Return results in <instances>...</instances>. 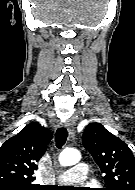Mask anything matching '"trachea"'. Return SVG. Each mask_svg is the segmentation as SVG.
<instances>
[{
	"instance_id": "3493384b",
	"label": "trachea",
	"mask_w": 135,
	"mask_h": 190,
	"mask_svg": "<svg viewBox=\"0 0 135 190\" xmlns=\"http://www.w3.org/2000/svg\"><path fill=\"white\" fill-rule=\"evenodd\" d=\"M67 137H68L67 129L64 127L59 128L56 131V138H55L56 147L60 149L65 144Z\"/></svg>"
}]
</instances>
